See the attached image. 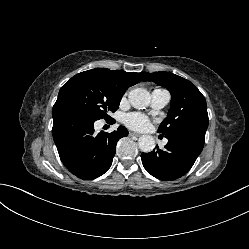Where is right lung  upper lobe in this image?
Returning a JSON list of instances; mask_svg holds the SVG:
<instances>
[{
	"mask_svg": "<svg viewBox=\"0 0 249 249\" xmlns=\"http://www.w3.org/2000/svg\"><path fill=\"white\" fill-rule=\"evenodd\" d=\"M109 83L115 86L118 90L123 93L130 87L138 82H140L145 76V72L135 73V72H125V71H117V70H109L106 68H96L89 70Z\"/></svg>",
	"mask_w": 249,
	"mask_h": 249,
	"instance_id": "1",
	"label": "right lung upper lobe"
}]
</instances>
